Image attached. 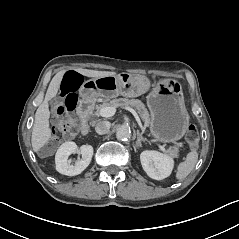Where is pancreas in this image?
Returning <instances> with one entry per match:
<instances>
[{"instance_id":"1","label":"pancreas","mask_w":239,"mask_h":239,"mask_svg":"<svg viewBox=\"0 0 239 239\" xmlns=\"http://www.w3.org/2000/svg\"><path fill=\"white\" fill-rule=\"evenodd\" d=\"M95 108L94 115H99L100 109L104 107H134L137 109L138 114L142 118L143 122L145 123L146 126H149L150 124V115L145 107L144 103L140 101L139 99H128V98H116L112 99L109 102L104 101L102 104L95 105L93 104ZM182 145L180 143H177L175 146L169 148V152L173 154L174 156L178 154V148L181 147Z\"/></svg>"}]
</instances>
